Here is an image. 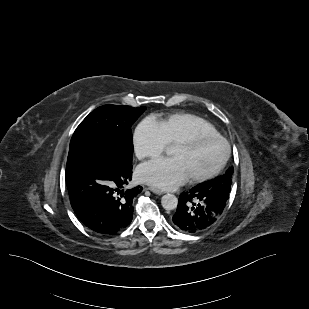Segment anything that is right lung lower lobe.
<instances>
[{
    "label": "right lung lower lobe",
    "instance_id": "right-lung-lower-lobe-1",
    "mask_svg": "<svg viewBox=\"0 0 309 309\" xmlns=\"http://www.w3.org/2000/svg\"><path fill=\"white\" fill-rule=\"evenodd\" d=\"M132 161L112 150L86 144L69 150L66 184L77 217L91 230L114 234L125 229L133 217V199L141 186L127 189Z\"/></svg>",
    "mask_w": 309,
    "mask_h": 309
}]
</instances>
